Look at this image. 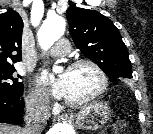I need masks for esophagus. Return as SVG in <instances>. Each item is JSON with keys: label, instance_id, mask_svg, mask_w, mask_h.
<instances>
[{"label": "esophagus", "instance_id": "1", "mask_svg": "<svg viewBox=\"0 0 153 134\" xmlns=\"http://www.w3.org/2000/svg\"><path fill=\"white\" fill-rule=\"evenodd\" d=\"M59 118H60V119H64V118H65V116H63V115H62V116H60Z\"/></svg>", "mask_w": 153, "mask_h": 134}]
</instances>
